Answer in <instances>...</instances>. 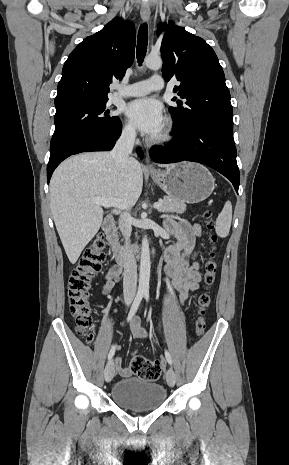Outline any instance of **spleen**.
<instances>
[{
    "mask_svg": "<svg viewBox=\"0 0 289 465\" xmlns=\"http://www.w3.org/2000/svg\"><path fill=\"white\" fill-rule=\"evenodd\" d=\"M232 221V204L227 201L216 219L215 231L219 237H226L229 234Z\"/></svg>",
    "mask_w": 289,
    "mask_h": 465,
    "instance_id": "3e777b00",
    "label": "spleen"
}]
</instances>
